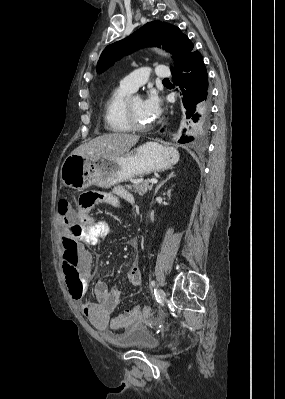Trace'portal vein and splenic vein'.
<instances>
[{"instance_id": "obj_1", "label": "portal vein and splenic vein", "mask_w": 285, "mask_h": 399, "mask_svg": "<svg viewBox=\"0 0 285 399\" xmlns=\"http://www.w3.org/2000/svg\"><path fill=\"white\" fill-rule=\"evenodd\" d=\"M157 182H158L157 179H150V180H149V183H151V184H156Z\"/></svg>"}]
</instances>
